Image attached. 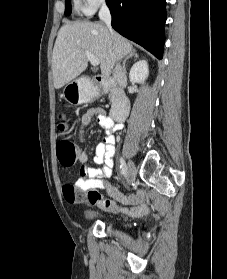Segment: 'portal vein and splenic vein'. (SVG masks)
Wrapping results in <instances>:
<instances>
[{
	"instance_id": "obj_1",
	"label": "portal vein and splenic vein",
	"mask_w": 227,
	"mask_h": 279,
	"mask_svg": "<svg viewBox=\"0 0 227 279\" xmlns=\"http://www.w3.org/2000/svg\"><path fill=\"white\" fill-rule=\"evenodd\" d=\"M85 55L93 66L99 65V59L89 51H85Z\"/></svg>"
}]
</instances>
